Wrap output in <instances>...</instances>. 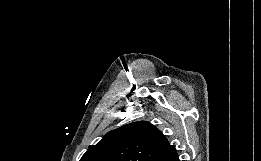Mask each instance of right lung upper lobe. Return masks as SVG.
<instances>
[{"label": "right lung upper lobe", "mask_w": 261, "mask_h": 161, "mask_svg": "<svg viewBox=\"0 0 261 161\" xmlns=\"http://www.w3.org/2000/svg\"><path fill=\"white\" fill-rule=\"evenodd\" d=\"M175 153L154 125L138 121L108 132L80 161H163Z\"/></svg>", "instance_id": "right-lung-upper-lobe-1"}]
</instances>
